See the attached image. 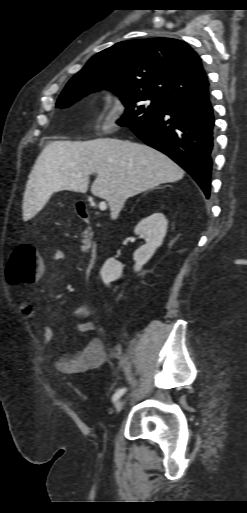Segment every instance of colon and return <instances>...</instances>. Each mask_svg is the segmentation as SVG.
Listing matches in <instances>:
<instances>
[{"mask_svg":"<svg viewBox=\"0 0 247 513\" xmlns=\"http://www.w3.org/2000/svg\"><path fill=\"white\" fill-rule=\"evenodd\" d=\"M42 271L43 265L35 247L28 243H21L11 251L5 276L11 285H30L37 281Z\"/></svg>","mask_w":247,"mask_h":513,"instance_id":"5ec220e1","label":"colon"}]
</instances>
